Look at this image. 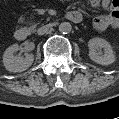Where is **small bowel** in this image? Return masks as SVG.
<instances>
[{
	"label": "small bowel",
	"instance_id": "small-bowel-1",
	"mask_svg": "<svg viewBox=\"0 0 119 119\" xmlns=\"http://www.w3.org/2000/svg\"><path fill=\"white\" fill-rule=\"evenodd\" d=\"M93 8H102L108 11L107 15L97 16L93 20V27L96 31L102 32L109 28L119 26V0H93Z\"/></svg>",
	"mask_w": 119,
	"mask_h": 119
}]
</instances>
